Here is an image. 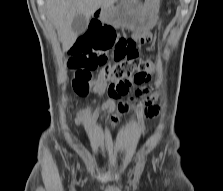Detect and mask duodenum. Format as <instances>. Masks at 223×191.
<instances>
[{"label":"duodenum","mask_w":223,"mask_h":191,"mask_svg":"<svg viewBox=\"0 0 223 191\" xmlns=\"http://www.w3.org/2000/svg\"><path fill=\"white\" fill-rule=\"evenodd\" d=\"M102 12H103V7H97V8L95 9L93 15H94L95 17H99V16L102 14Z\"/></svg>","instance_id":"410a0bca"}]
</instances>
